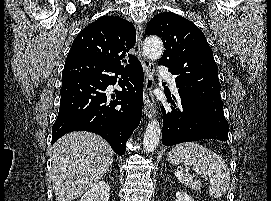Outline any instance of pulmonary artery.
<instances>
[{
    "mask_svg": "<svg viewBox=\"0 0 271 201\" xmlns=\"http://www.w3.org/2000/svg\"><path fill=\"white\" fill-rule=\"evenodd\" d=\"M158 73L167 78L169 84L171 85V87L176 90L177 86H176V81H175V77L168 71L167 68L160 66L158 69Z\"/></svg>",
    "mask_w": 271,
    "mask_h": 201,
    "instance_id": "pulmonary-artery-1",
    "label": "pulmonary artery"
}]
</instances>
